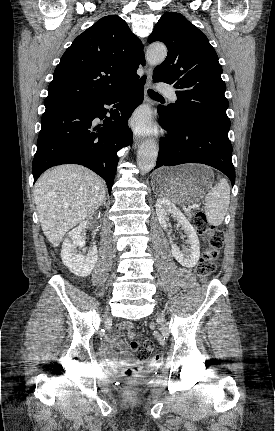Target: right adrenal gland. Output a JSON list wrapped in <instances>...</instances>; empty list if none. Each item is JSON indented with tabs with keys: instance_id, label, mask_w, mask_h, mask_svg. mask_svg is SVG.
<instances>
[{
	"instance_id": "right-adrenal-gland-1",
	"label": "right adrenal gland",
	"mask_w": 275,
	"mask_h": 431,
	"mask_svg": "<svg viewBox=\"0 0 275 431\" xmlns=\"http://www.w3.org/2000/svg\"><path fill=\"white\" fill-rule=\"evenodd\" d=\"M105 204H106V201L104 200L103 203H102V205H105Z\"/></svg>"
}]
</instances>
